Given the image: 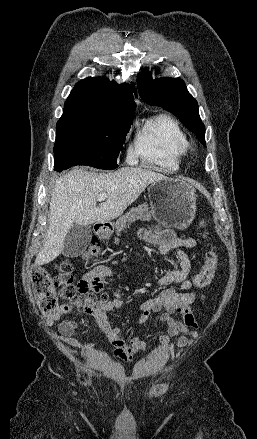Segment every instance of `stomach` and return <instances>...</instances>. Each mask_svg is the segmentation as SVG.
Wrapping results in <instances>:
<instances>
[{"label":"stomach","mask_w":257,"mask_h":439,"mask_svg":"<svg viewBox=\"0 0 257 439\" xmlns=\"http://www.w3.org/2000/svg\"><path fill=\"white\" fill-rule=\"evenodd\" d=\"M149 198L153 217L162 224L186 228L196 213V191L188 182L177 178H164L152 183ZM111 231L100 232L102 238H109Z\"/></svg>","instance_id":"obj_1"}]
</instances>
